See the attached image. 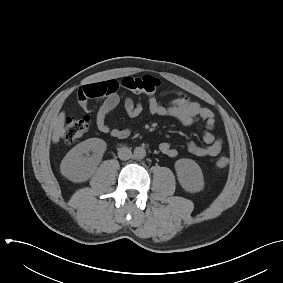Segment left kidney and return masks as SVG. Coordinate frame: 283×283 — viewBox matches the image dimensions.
<instances>
[{
  "instance_id": "obj_1",
  "label": "left kidney",
  "mask_w": 283,
  "mask_h": 283,
  "mask_svg": "<svg viewBox=\"0 0 283 283\" xmlns=\"http://www.w3.org/2000/svg\"><path fill=\"white\" fill-rule=\"evenodd\" d=\"M175 170L182 188L188 192H199L204 187V178L199 165L191 159H179Z\"/></svg>"
}]
</instances>
